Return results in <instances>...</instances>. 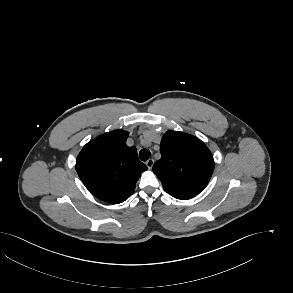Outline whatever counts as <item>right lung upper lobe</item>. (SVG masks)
I'll use <instances>...</instances> for the list:
<instances>
[{
	"label": "right lung upper lobe",
	"mask_w": 293,
	"mask_h": 293,
	"mask_svg": "<svg viewBox=\"0 0 293 293\" xmlns=\"http://www.w3.org/2000/svg\"><path fill=\"white\" fill-rule=\"evenodd\" d=\"M129 133L115 130L87 143L76 159V171L85 187L98 199L118 204L133 193L147 166L136 148L128 147Z\"/></svg>",
	"instance_id": "cb5924a9"
}]
</instances>
